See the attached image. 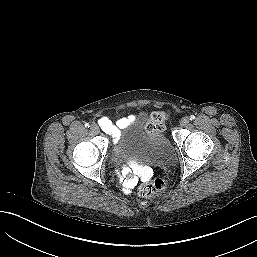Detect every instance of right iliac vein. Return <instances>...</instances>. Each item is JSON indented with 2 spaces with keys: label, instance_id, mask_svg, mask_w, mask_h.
Wrapping results in <instances>:
<instances>
[{
  "label": "right iliac vein",
  "instance_id": "1",
  "mask_svg": "<svg viewBox=\"0 0 257 257\" xmlns=\"http://www.w3.org/2000/svg\"><path fill=\"white\" fill-rule=\"evenodd\" d=\"M90 130L94 133V134H98L100 132L99 127L96 124H92L90 127Z\"/></svg>",
  "mask_w": 257,
  "mask_h": 257
}]
</instances>
